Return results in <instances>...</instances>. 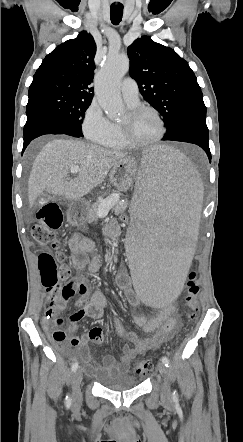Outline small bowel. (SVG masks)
<instances>
[{
  "label": "small bowel",
  "instance_id": "small-bowel-1",
  "mask_svg": "<svg viewBox=\"0 0 243 442\" xmlns=\"http://www.w3.org/2000/svg\"><path fill=\"white\" fill-rule=\"evenodd\" d=\"M105 232L110 236L115 235L117 232L116 226L108 224L105 227ZM69 247L72 253V263L77 270L86 268L91 274L99 271L101 255L97 251L96 244L92 239L76 234L70 239ZM70 284L79 290V299L76 302L78 310L70 316L68 325V331L74 333L78 323L83 318L101 319L109 305L107 299L99 290L89 287V282L86 278L77 277ZM116 284L124 291L132 305L136 306L139 304L140 298L139 296H134L128 274L120 272L116 277ZM64 305L65 303L55 307L52 311L47 310L45 313L42 323L51 334L57 321H52V318L60 313ZM134 324L140 327L147 337L143 339L138 338L135 333L125 331L120 320H114L117 335L127 341L119 358L106 355L101 359L100 363H94L90 360L88 343L101 344L104 341L102 329L99 326H93L86 336H71L70 343L76 348L72 355L73 358L84 359L86 372L96 378L113 372H125L129 369L133 357H137L146 351L156 350L178 330L175 307L172 305L164 307L157 315L149 319L135 317ZM56 342L64 344V341Z\"/></svg>",
  "mask_w": 243,
  "mask_h": 442
}]
</instances>
